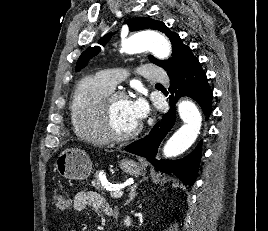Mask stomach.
Here are the masks:
<instances>
[{
  "label": "stomach",
  "instance_id": "1",
  "mask_svg": "<svg viewBox=\"0 0 268 231\" xmlns=\"http://www.w3.org/2000/svg\"><path fill=\"white\" fill-rule=\"evenodd\" d=\"M120 168L128 175H143V165L123 159L119 163ZM55 167L60 176L69 180H85L92 172V162L89 155L79 148H67L58 156Z\"/></svg>",
  "mask_w": 268,
  "mask_h": 231
}]
</instances>
